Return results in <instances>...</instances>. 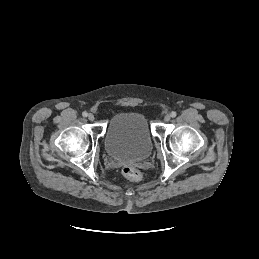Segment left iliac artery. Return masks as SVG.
I'll use <instances>...</instances> for the list:
<instances>
[{"instance_id":"left-iliac-artery-1","label":"left iliac artery","mask_w":259,"mask_h":259,"mask_svg":"<svg viewBox=\"0 0 259 259\" xmlns=\"http://www.w3.org/2000/svg\"><path fill=\"white\" fill-rule=\"evenodd\" d=\"M170 115H171V117H173V118H174V117H176V115H177V114H176V112H175V111H172Z\"/></svg>"}]
</instances>
